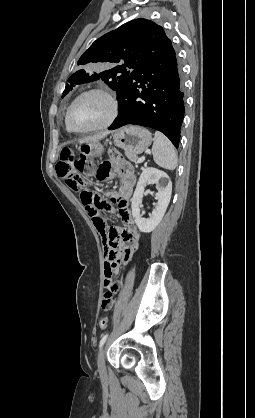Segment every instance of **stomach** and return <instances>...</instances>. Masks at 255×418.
Returning <instances> with one entry per match:
<instances>
[{
	"label": "stomach",
	"instance_id": "1",
	"mask_svg": "<svg viewBox=\"0 0 255 418\" xmlns=\"http://www.w3.org/2000/svg\"><path fill=\"white\" fill-rule=\"evenodd\" d=\"M114 143L125 152L138 155L145 151L152 142V135L146 128L139 126H126L114 132ZM86 156H101L104 149L99 142L84 143L79 147Z\"/></svg>",
	"mask_w": 255,
	"mask_h": 418
}]
</instances>
